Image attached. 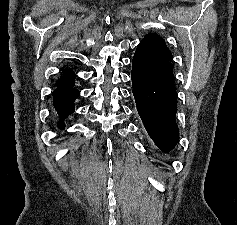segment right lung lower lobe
<instances>
[{
  "label": "right lung lower lobe",
  "instance_id": "1",
  "mask_svg": "<svg viewBox=\"0 0 237 225\" xmlns=\"http://www.w3.org/2000/svg\"><path fill=\"white\" fill-rule=\"evenodd\" d=\"M80 95V92L73 88V85H57L53 92L54 107L60 117L58 127L64 129V118L72 114L75 110L74 100Z\"/></svg>",
  "mask_w": 237,
  "mask_h": 225
}]
</instances>
